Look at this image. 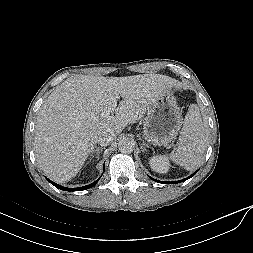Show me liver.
I'll use <instances>...</instances> for the list:
<instances>
[{"label": "liver", "mask_w": 253, "mask_h": 253, "mask_svg": "<svg viewBox=\"0 0 253 253\" xmlns=\"http://www.w3.org/2000/svg\"><path fill=\"white\" fill-rule=\"evenodd\" d=\"M172 87L179 88L180 82L161 74L68 78L39 112L34 132L38 166L57 182L71 180L97 144L100 131L120 134ZM106 111L115 115H102Z\"/></svg>", "instance_id": "obj_1"}]
</instances>
